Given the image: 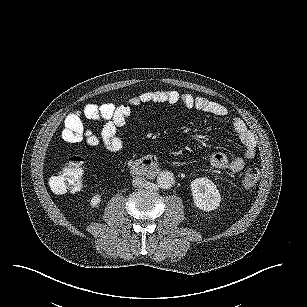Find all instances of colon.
<instances>
[{
  "label": "colon",
  "instance_id": "1",
  "mask_svg": "<svg viewBox=\"0 0 307 307\" xmlns=\"http://www.w3.org/2000/svg\"><path fill=\"white\" fill-rule=\"evenodd\" d=\"M83 139L88 145L98 144L99 138L89 129H83ZM260 176L255 165H248L242 174V185L246 189L253 188ZM84 182V160L81 157L68 158L66 165L50 179V187L56 194L74 193L82 189Z\"/></svg>",
  "mask_w": 307,
  "mask_h": 307
}]
</instances>
